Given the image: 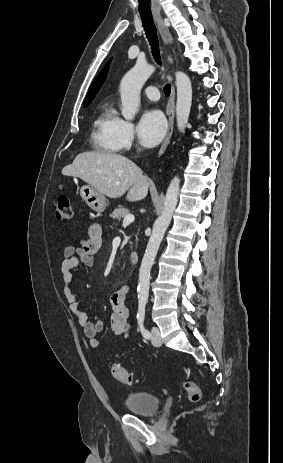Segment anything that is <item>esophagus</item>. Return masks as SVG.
<instances>
[{"label":"esophagus","instance_id":"1","mask_svg":"<svg viewBox=\"0 0 283 463\" xmlns=\"http://www.w3.org/2000/svg\"><path fill=\"white\" fill-rule=\"evenodd\" d=\"M154 19L158 25L159 33L161 36V39L164 43L165 46H170L173 44V39L172 36L169 32V21L166 19L162 18L160 15L154 16ZM174 108H175V88L172 85L171 87V93L170 97L168 100L167 104V115H168V129L166 136L163 140V143L160 147V150L158 152V159L164 154L167 146L170 143L171 136L173 133V128H174Z\"/></svg>","mask_w":283,"mask_h":463}]
</instances>
